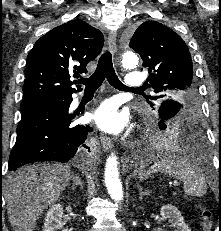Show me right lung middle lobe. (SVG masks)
<instances>
[{"instance_id": "dd1d6c3e", "label": "right lung middle lobe", "mask_w": 221, "mask_h": 231, "mask_svg": "<svg viewBox=\"0 0 221 231\" xmlns=\"http://www.w3.org/2000/svg\"><path fill=\"white\" fill-rule=\"evenodd\" d=\"M40 101H42V100H33V99H31V100H23L22 103H21L20 109H22V108H24V107H27V106H29V105H31V104L40 102Z\"/></svg>"}]
</instances>
